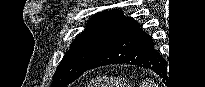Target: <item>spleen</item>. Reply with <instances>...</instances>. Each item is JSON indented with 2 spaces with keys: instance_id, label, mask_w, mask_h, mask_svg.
<instances>
[{
  "instance_id": "obj_1",
  "label": "spleen",
  "mask_w": 205,
  "mask_h": 87,
  "mask_svg": "<svg viewBox=\"0 0 205 87\" xmlns=\"http://www.w3.org/2000/svg\"><path fill=\"white\" fill-rule=\"evenodd\" d=\"M142 87H158L152 80H147L142 84Z\"/></svg>"
}]
</instances>
